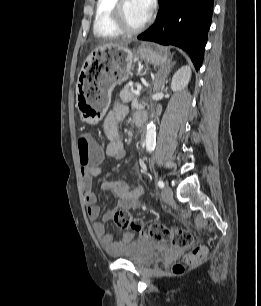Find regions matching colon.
<instances>
[{"label": "colon", "instance_id": "5ec220e1", "mask_svg": "<svg viewBox=\"0 0 261 306\" xmlns=\"http://www.w3.org/2000/svg\"><path fill=\"white\" fill-rule=\"evenodd\" d=\"M80 164L84 167L101 160L102 147L92 138L91 134L84 132L77 139ZM114 224L122 230H132L157 242H168L175 248H188L193 244V235L189 230L169 228L160 223L145 224L136 219L126 210H115L112 214ZM204 247H196L187 255L185 264L174 266L177 273L183 272L186 265H195L206 257Z\"/></svg>", "mask_w": 261, "mask_h": 306}]
</instances>
